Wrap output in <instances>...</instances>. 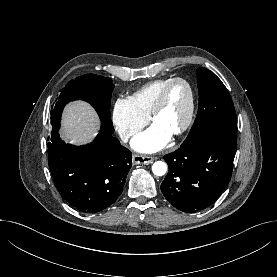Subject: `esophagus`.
I'll list each match as a JSON object with an SVG mask.
<instances>
[{
    "label": "esophagus",
    "instance_id": "esophagus-1",
    "mask_svg": "<svg viewBox=\"0 0 277 277\" xmlns=\"http://www.w3.org/2000/svg\"><path fill=\"white\" fill-rule=\"evenodd\" d=\"M153 161H154V158L152 156H144V155L135 154V155H133V158H132V162L135 165H138V164L149 165Z\"/></svg>",
    "mask_w": 277,
    "mask_h": 277
}]
</instances>
